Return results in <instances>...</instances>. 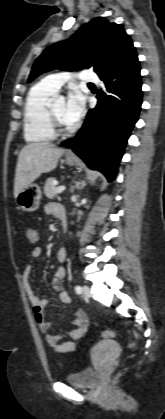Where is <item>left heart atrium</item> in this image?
I'll list each match as a JSON object with an SVG mask.
<instances>
[{
  "label": "left heart atrium",
  "instance_id": "39dd6f15",
  "mask_svg": "<svg viewBox=\"0 0 165 419\" xmlns=\"http://www.w3.org/2000/svg\"><path fill=\"white\" fill-rule=\"evenodd\" d=\"M84 110H85L84 95L78 89H73L68 94V97L65 103L64 117L66 121L69 122L70 124L77 122L84 114Z\"/></svg>",
  "mask_w": 165,
  "mask_h": 419
}]
</instances>
